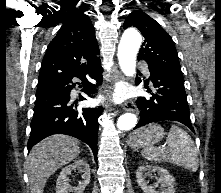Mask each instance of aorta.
Wrapping results in <instances>:
<instances>
[{
    "label": "aorta",
    "mask_w": 221,
    "mask_h": 193,
    "mask_svg": "<svg viewBox=\"0 0 221 193\" xmlns=\"http://www.w3.org/2000/svg\"><path fill=\"white\" fill-rule=\"evenodd\" d=\"M142 42L141 35L135 29H128L122 35L118 46V60L122 72L132 77L136 72V56ZM137 124L135 114L126 113L121 115L117 121L119 130H130Z\"/></svg>",
    "instance_id": "obj_1"
}]
</instances>
